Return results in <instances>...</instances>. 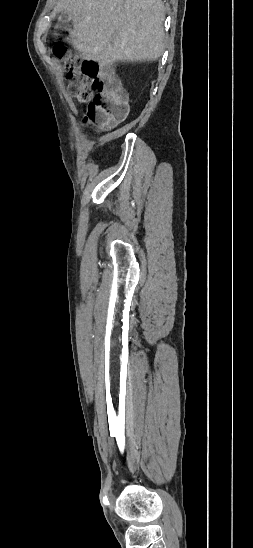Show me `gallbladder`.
I'll use <instances>...</instances> for the list:
<instances>
[{
	"label": "gallbladder",
	"instance_id": "1",
	"mask_svg": "<svg viewBox=\"0 0 253 548\" xmlns=\"http://www.w3.org/2000/svg\"><path fill=\"white\" fill-rule=\"evenodd\" d=\"M69 20H70V17H69V15H68L67 13H62V15H61V17H60V19H59V21H60L61 24H64V23H66V22L69 21Z\"/></svg>",
	"mask_w": 253,
	"mask_h": 548
}]
</instances>
